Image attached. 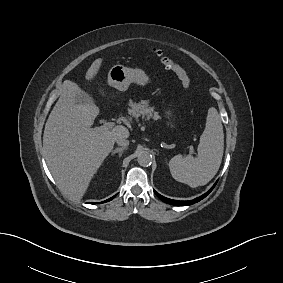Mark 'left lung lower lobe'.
Returning <instances> with one entry per match:
<instances>
[{
  "mask_svg": "<svg viewBox=\"0 0 283 283\" xmlns=\"http://www.w3.org/2000/svg\"><path fill=\"white\" fill-rule=\"evenodd\" d=\"M217 183V182H216ZM216 183L214 184V186L208 191L206 192L205 194H203L202 196L200 197H197L193 200H190V201H178V200H173V199H169V198H166V197H163L161 196L160 194H158L156 191H154V193L157 195V197L159 199H161L163 202L165 203H168V204H171V205H176V206H187V205H192L194 203H197L199 202L200 200H202L203 198H205L212 190L213 188L215 187Z\"/></svg>",
  "mask_w": 283,
  "mask_h": 283,
  "instance_id": "1",
  "label": "left lung lower lobe"
}]
</instances>
